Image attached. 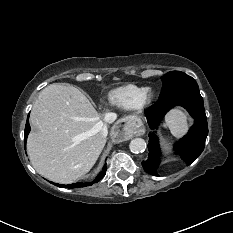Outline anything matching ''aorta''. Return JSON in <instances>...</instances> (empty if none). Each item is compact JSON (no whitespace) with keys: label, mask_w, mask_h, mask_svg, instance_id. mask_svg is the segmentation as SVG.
<instances>
[{"label":"aorta","mask_w":233,"mask_h":233,"mask_svg":"<svg viewBox=\"0 0 233 233\" xmlns=\"http://www.w3.org/2000/svg\"><path fill=\"white\" fill-rule=\"evenodd\" d=\"M146 147V142L142 138H135L129 144V149L132 153H142Z\"/></svg>","instance_id":"1"}]
</instances>
